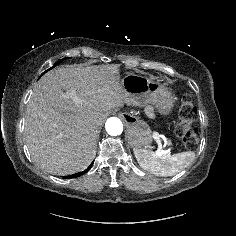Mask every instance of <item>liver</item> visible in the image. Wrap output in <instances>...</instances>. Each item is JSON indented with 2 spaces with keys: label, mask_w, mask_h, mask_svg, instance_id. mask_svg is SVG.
I'll return each instance as SVG.
<instances>
[{
  "label": "liver",
  "mask_w": 236,
  "mask_h": 236,
  "mask_svg": "<svg viewBox=\"0 0 236 236\" xmlns=\"http://www.w3.org/2000/svg\"><path fill=\"white\" fill-rule=\"evenodd\" d=\"M119 71L114 64L59 68L38 81L27 104L24 132L31 157L41 168L70 175L91 164L98 131L92 123L101 126L111 110L129 101ZM70 91L78 104L67 96Z\"/></svg>",
  "instance_id": "obj_1"
}]
</instances>
